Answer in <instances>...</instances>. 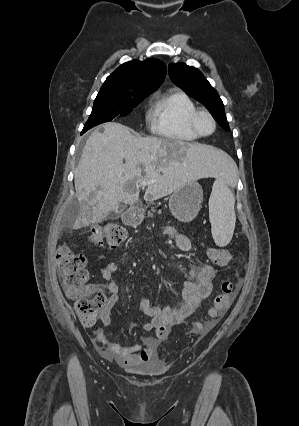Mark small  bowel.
<instances>
[{"label":"small bowel","instance_id":"c3829d8e","mask_svg":"<svg viewBox=\"0 0 299 426\" xmlns=\"http://www.w3.org/2000/svg\"><path fill=\"white\" fill-rule=\"evenodd\" d=\"M164 234L172 238L183 253L191 250L189 239L179 233L174 227L166 226ZM119 268L114 262H109L99 269L103 279L108 282L109 296L107 303L100 313V321L106 328H111V309L118 301L119 286L115 280ZM215 269L205 263L187 266V279L183 283L180 303L175 307H158L151 304L148 298H141L140 309L150 317L142 326L146 332L154 331V336L142 338L141 344L122 346L109 343L98 331L99 352L106 358L115 360L123 367H130L140 362L157 360L160 344L167 338L169 330L192 315L212 292Z\"/></svg>","mask_w":299,"mask_h":426}]
</instances>
